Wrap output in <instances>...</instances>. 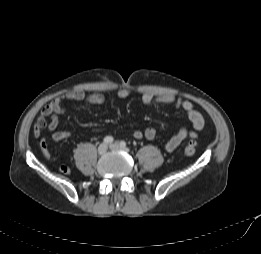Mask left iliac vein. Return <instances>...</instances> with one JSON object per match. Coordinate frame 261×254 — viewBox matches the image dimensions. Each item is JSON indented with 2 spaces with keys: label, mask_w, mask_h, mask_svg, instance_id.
Wrapping results in <instances>:
<instances>
[{
  "label": "left iliac vein",
  "mask_w": 261,
  "mask_h": 254,
  "mask_svg": "<svg viewBox=\"0 0 261 254\" xmlns=\"http://www.w3.org/2000/svg\"><path fill=\"white\" fill-rule=\"evenodd\" d=\"M109 148L112 149V150H119V149H122V150L128 152V149H127V148H123V147H121L119 143H113V144H110V145H109Z\"/></svg>",
  "instance_id": "obj_1"
}]
</instances>
